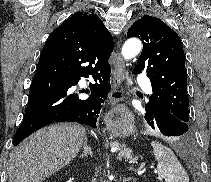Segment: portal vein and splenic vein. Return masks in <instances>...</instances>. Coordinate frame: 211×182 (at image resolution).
<instances>
[{
    "instance_id": "1",
    "label": "portal vein and splenic vein",
    "mask_w": 211,
    "mask_h": 182,
    "mask_svg": "<svg viewBox=\"0 0 211 182\" xmlns=\"http://www.w3.org/2000/svg\"><path fill=\"white\" fill-rule=\"evenodd\" d=\"M116 150H117L116 148H113L111 151L112 152H115ZM130 171L138 172V174H140V172L138 170L133 169V168H130ZM157 179L160 180V181H162V178L161 177H158Z\"/></svg>"
}]
</instances>
